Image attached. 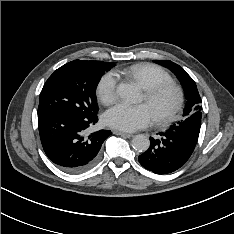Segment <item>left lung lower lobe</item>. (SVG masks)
<instances>
[{
	"instance_id": "1",
	"label": "left lung lower lobe",
	"mask_w": 234,
	"mask_h": 234,
	"mask_svg": "<svg viewBox=\"0 0 234 234\" xmlns=\"http://www.w3.org/2000/svg\"><path fill=\"white\" fill-rule=\"evenodd\" d=\"M150 138L149 149L138 157L140 164L156 174H168L183 166L193 153L198 137L183 128L170 127Z\"/></svg>"
}]
</instances>
